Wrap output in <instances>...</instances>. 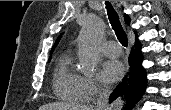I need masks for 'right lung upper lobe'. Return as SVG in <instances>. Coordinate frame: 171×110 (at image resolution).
Instances as JSON below:
<instances>
[{
	"instance_id": "1",
	"label": "right lung upper lobe",
	"mask_w": 171,
	"mask_h": 110,
	"mask_svg": "<svg viewBox=\"0 0 171 110\" xmlns=\"http://www.w3.org/2000/svg\"><path fill=\"white\" fill-rule=\"evenodd\" d=\"M124 18H125V22H126L127 24H129V23H130V18H129L128 16H126V15L124 16ZM136 37H137V36H136ZM60 38H61V35L57 38V40H56L54 46L52 47L51 53L53 52V50H54L55 47L57 46V44H58Z\"/></svg>"
}]
</instances>
